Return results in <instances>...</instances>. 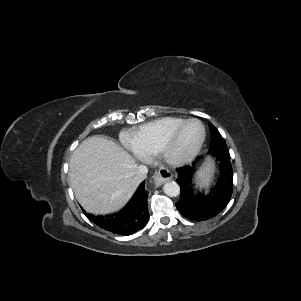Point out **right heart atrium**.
Wrapping results in <instances>:
<instances>
[{
    "mask_svg": "<svg viewBox=\"0 0 301 301\" xmlns=\"http://www.w3.org/2000/svg\"><path fill=\"white\" fill-rule=\"evenodd\" d=\"M131 150H133V152L137 155V157H139L140 159H146V156L145 155H142V154H140V153H138V152H136L132 147H131V145L129 144V142H127V144H126Z\"/></svg>",
    "mask_w": 301,
    "mask_h": 301,
    "instance_id": "right-heart-atrium-1",
    "label": "right heart atrium"
}]
</instances>
